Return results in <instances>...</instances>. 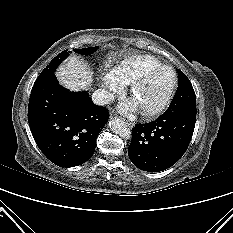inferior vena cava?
<instances>
[{
  "label": "inferior vena cava",
  "mask_w": 233,
  "mask_h": 233,
  "mask_svg": "<svg viewBox=\"0 0 233 233\" xmlns=\"http://www.w3.org/2000/svg\"><path fill=\"white\" fill-rule=\"evenodd\" d=\"M114 100V95L105 89H98L92 94V101L98 105H106Z\"/></svg>",
  "instance_id": "602c4592"
}]
</instances>
